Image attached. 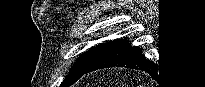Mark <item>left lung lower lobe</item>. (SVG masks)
<instances>
[{
	"mask_svg": "<svg viewBox=\"0 0 205 87\" xmlns=\"http://www.w3.org/2000/svg\"><path fill=\"white\" fill-rule=\"evenodd\" d=\"M129 45L126 39L109 41L103 44L92 63L83 71L80 77L89 72L109 67L140 69L150 74L155 72V64L146 61L142 49Z\"/></svg>",
	"mask_w": 205,
	"mask_h": 87,
	"instance_id": "left-lung-lower-lobe-1",
	"label": "left lung lower lobe"
}]
</instances>
